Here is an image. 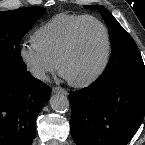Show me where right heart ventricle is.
<instances>
[{
  "mask_svg": "<svg viewBox=\"0 0 145 145\" xmlns=\"http://www.w3.org/2000/svg\"><path fill=\"white\" fill-rule=\"evenodd\" d=\"M86 15L61 13L53 16L32 35L31 41L54 62L63 50L71 29Z\"/></svg>",
  "mask_w": 145,
  "mask_h": 145,
  "instance_id": "e07e8e85",
  "label": "right heart ventricle"
}]
</instances>
